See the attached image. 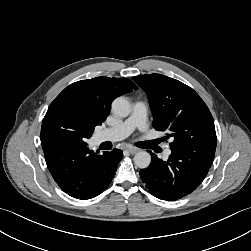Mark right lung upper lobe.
I'll list each match as a JSON object with an SVG mask.
<instances>
[{
	"label": "right lung upper lobe",
	"instance_id": "cb5924a9",
	"mask_svg": "<svg viewBox=\"0 0 251 251\" xmlns=\"http://www.w3.org/2000/svg\"><path fill=\"white\" fill-rule=\"evenodd\" d=\"M138 87L127 78L96 77L66 87L48 109L65 105L84 115L94 126L101 125L110 112L111 102Z\"/></svg>",
	"mask_w": 251,
	"mask_h": 251
}]
</instances>
